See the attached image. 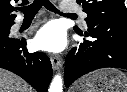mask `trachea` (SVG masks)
I'll return each instance as SVG.
<instances>
[{
    "instance_id": "obj_1",
    "label": "trachea",
    "mask_w": 127,
    "mask_h": 92,
    "mask_svg": "<svg viewBox=\"0 0 127 92\" xmlns=\"http://www.w3.org/2000/svg\"><path fill=\"white\" fill-rule=\"evenodd\" d=\"M42 6H44L49 11L60 13L62 15L77 16L73 13L64 14L59 12V10L56 9V7L49 0H34L32 4L20 8V11L24 13L25 17L35 16V14L40 10Z\"/></svg>"
}]
</instances>
